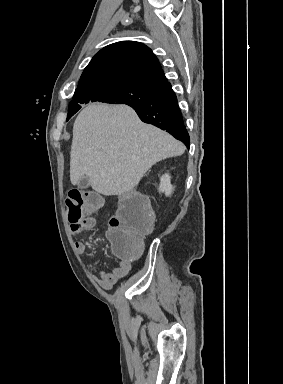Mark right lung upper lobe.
Masks as SVG:
<instances>
[{"mask_svg": "<svg viewBox=\"0 0 283 384\" xmlns=\"http://www.w3.org/2000/svg\"><path fill=\"white\" fill-rule=\"evenodd\" d=\"M167 82L150 48L135 41H121L106 46L93 57L77 89L118 83L155 92Z\"/></svg>", "mask_w": 283, "mask_h": 384, "instance_id": "obj_1", "label": "right lung upper lobe"}]
</instances>
